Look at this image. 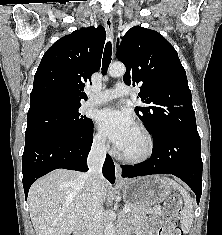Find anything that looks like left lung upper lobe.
Instances as JSON below:
<instances>
[{"label":"left lung upper lobe","mask_w":222,"mask_h":235,"mask_svg":"<svg viewBox=\"0 0 222 235\" xmlns=\"http://www.w3.org/2000/svg\"><path fill=\"white\" fill-rule=\"evenodd\" d=\"M117 56L127 68L124 82L140 86L139 97L148 106L136 107L135 112L153 140L170 132L199 136L185 69L160 33L141 26L130 28Z\"/></svg>","instance_id":"1"}]
</instances>
